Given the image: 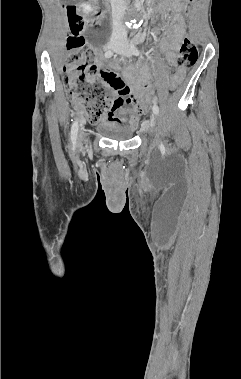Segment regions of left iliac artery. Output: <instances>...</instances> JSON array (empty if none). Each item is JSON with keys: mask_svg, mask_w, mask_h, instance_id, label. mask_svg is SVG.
I'll return each mask as SVG.
<instances>
[{"mask_svg": "<svg viewBox=\"0 0 241 379\" xmlns=\"http://www.w3.org/2000/svg\"><path fill=\"white\" fill-rule=\"evenodd\" d=\"M130 50L132 54L139 55V50L135 45V39H133L130 43ZM152 109H153L154 114L156 115L159 114V107L157 106V104H154Z\"/></svg>", "mask_w": 241, "mask_h": 379, "instance_id": "1", "label": "left iliac artery"}]
</instances>
